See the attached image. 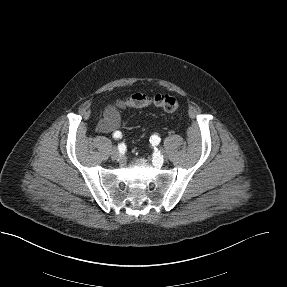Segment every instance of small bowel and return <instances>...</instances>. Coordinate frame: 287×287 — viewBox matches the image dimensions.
I'll list each match as a JSON object with an SVG mask.
<instances>
[{"instance_id": "small-bowel-1", "label": "small bowel", "mask_w": 287, "mask_h": 287, "mask_svg": "<svg viewBox=\"0 0 287 287\" xmlns=\"http://www.w3.org/2000/svg\"><path fill=\"white\" fill-rule=\"evenodd\" d=\"M121 125V117L117 108L109 105L105 108L103 117L99 121L97 128L102 133H115Z\"/></svg>"}]
</instances>
